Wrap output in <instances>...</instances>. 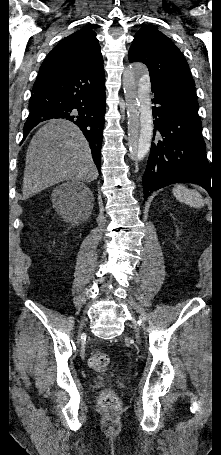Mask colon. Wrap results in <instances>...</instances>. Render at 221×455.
Instances as JSON below:
<instances>
[{"label": "colon", "instance_id": "obj_1", "mask_svg": "<svg viewBox=\"0 0 221 455\" xmlns=\"http://www.w3.org/2000/svg\"><path fill=\"white\" fill-rule=\"evenodd\" d=\"M110 365L107 354L94 351L89 358V366L97 371H104ZM99 405L108 411H115L120 407V400L113 390H105L99 396Z\"/></svg>", "mask_w": 221, "mask_h": 455}]
</instances>
